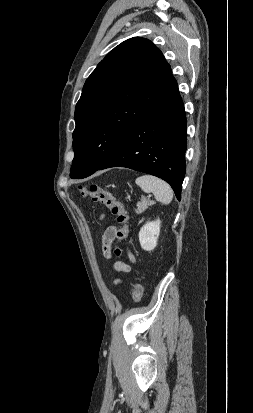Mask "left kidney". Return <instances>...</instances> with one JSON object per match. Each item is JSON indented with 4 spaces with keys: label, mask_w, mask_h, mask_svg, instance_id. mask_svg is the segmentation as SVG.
<instances>
[{
    "label": "left kidney",
    "mask_w": 253,
    "mask_h": 413,
    "mask_svg": "<svg viewBox=\"0 0 253 413\" xmlns=\"http://www.w3.org/2000/svg\"><path fill=\"white\" fill-rule=\"evenodd\" d=\"M160 220L147 222L139 232V241L142 249L146 251L153 250L157 245L160 234Z\"/></svg>",
    "instance_id": "left-kidney-1"
}]
</instances>
